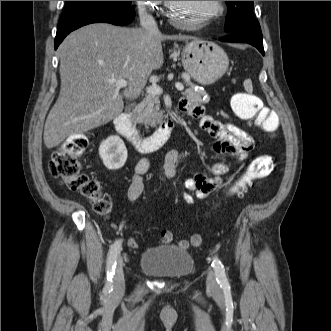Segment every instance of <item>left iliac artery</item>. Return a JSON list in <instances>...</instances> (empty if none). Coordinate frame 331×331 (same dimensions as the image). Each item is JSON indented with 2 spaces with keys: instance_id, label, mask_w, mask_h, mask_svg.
<instances>
[{
  "instance_id": "left-iliac-artery-1",
  "label": "left iliac artery",
  "mask_w": 331,
  "mask_h": 331,
  "mask_svg": "<svg viewBox=\"0 0 331 331\" xmlns=\"http://www.w3.org/2000/svg\"><path fill=\"white\" fill-rule=\"evenodd\" d=\"M212 267L215 271L216 275V280L218 284L223 288V289H229V282L225 274V269L221 261L215 257L213 262H212Z\"/></svg>"
}]
</instances>
